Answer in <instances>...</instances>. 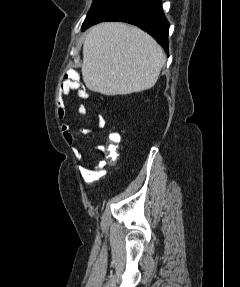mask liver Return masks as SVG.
Returning <instances> with one entry per match:
<instances>
[{
	"mask_svg": "<svg viewBox=\"0 0 240 287\" xmlns=\"http://www.w3.org/2000/svg\"><path fill=\"white\" fill-rule=\"evenodd\" d=\"M165 63L160 45L138 27L100 23L83 44V81L104 95H126L152 88Z\"/></svg>",
	"mask_w": 240,
	"mask_h": 287,
	"instance_id": "obj_1",
	"label": "liver"
}]
</instances>
